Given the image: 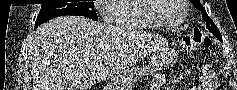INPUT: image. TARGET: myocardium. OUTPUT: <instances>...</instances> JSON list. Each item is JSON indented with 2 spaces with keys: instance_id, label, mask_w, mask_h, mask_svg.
Segmentation results:
<instances>
[{
  "instance_id": "myocardium-1",
  "label": "myocardium",
  "mask_w": 237,
  "mask_h": 90,
  "mask_svg": "<svg viewBox=\"0 0 237 90\" xmlns=\"http://www.w3.org/2000/svg\"><path fill=\"white\" fill-rule=\"evenodd\" d=\"M189 0H176L175 3H177L178 5H180L181 9H182V16L180 21L172 26H166L164 24H162L156 17L155 15L157 14V12H160V9H164L166 3L160 2V0H147L146 2V6L147 8H144V14H147L146 18H150L152 20V22L160 29L164 30V31H176L178 29H180L182 27V25L184 24L185 20H186V16H187V5L185 3H188Z\"/></svg>"
}]
</instances>
